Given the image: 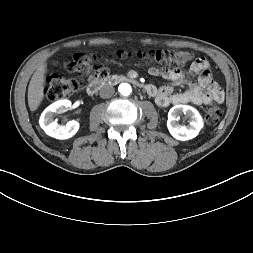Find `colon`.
<instances>
[{"mask_svg": "<svg viewBox=\"0 0 253 253\" xmlns=\"http://www.w3.org/2000/svg\"><path fill=\"white\" fill-rule=\"evenodd\" d=\"M117 57L121 60L141 59L147 60L159 68L161 65L174 64L176 67L185 65L192 60V53L182 50H147L130 52L120 50ZM67 71L76 73L91 83L98 78H105L110 73V66L105 61H98L93 54L77 53L67 63ZM81 88V81L77 79H68L61 75H53L47 78L44 93L47 99L55 101L61 99ZM223 115V109L217 104H209L206 107V121L209 124H216Z\"/></svg>", "mask_w": 253, "mask_h": 253, "instance_id": "colon-1", "label": "colon"}]
</instances>
